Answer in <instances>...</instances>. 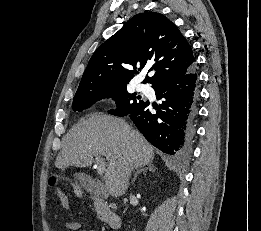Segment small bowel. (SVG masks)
Segmentation results:
<instances>
[{
    "label": "small bowel",
    "instance_id": "obj_1",
    "mask_svg": "<svg viewBox=\"0 0 261 231\" xmlns=\"http://www.w3.org/2000/svg\"><path fill=\"white\" fill-rule=\"evenodd\" d=\"M59 202L62 208H64L65 210H72V205L65 196L61 195L59 198ZM79 229H80V224L78 222H69L66 224L65 231H79ZM84 231H93V230H84Z\"/></svg>",
    "mask_w": 261,
    "mask_h": 231
}]
</instances>
